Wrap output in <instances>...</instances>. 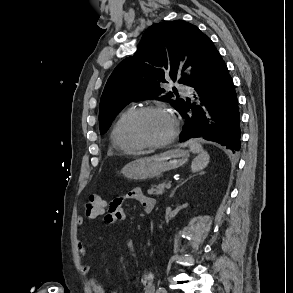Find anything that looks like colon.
Returning a JSON list of instances; mask_svg holds the SVG:
<instances>
[{
    "instance_id": "colon-1",
    "label": "colon",
    "mask_w": 293,
    "mask_h": 293,
    "mask_svg": "<svg viewBox=\"0 0 293 293\" xmlns=\"http://www.w3.org/2000/svg\"><path fill=\"white\" fill-rule=\"evenodd\" d=\"M106 207V201L100 193L92 194L85 203L86 217L96 219L105 211Z\"/></svg>"
}]
</instances>
